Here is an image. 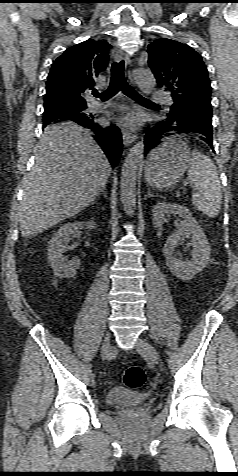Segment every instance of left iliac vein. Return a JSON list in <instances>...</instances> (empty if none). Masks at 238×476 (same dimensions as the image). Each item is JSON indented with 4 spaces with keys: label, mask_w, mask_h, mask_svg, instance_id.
Wrapping results in <instances>:
<instances>
[{
    "label": "left iliac vein",
    "mask_w": 238,
    "mask_h": 476,
    "mask_svg": "<svg viewBox=\"0 0 238 476\" xmlns=\"http://www.w3.org/2000/svg\"><path fill=\"white\" fill-rule=\"evenodd\" d=\"M138 353L147 357L153 363L159 362V355L154 346L146 342L145 340L139 338L135 346Z\"/></svg>",
    "instance_id": "obj_1"
}]
</instances>
